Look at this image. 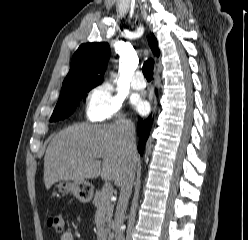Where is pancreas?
Returning <instances> with one entry per match:
<instances>
[{"instance_id":"cf45deb5","label":"pancreas","mask_w":248,"mask_h":240,"mask_svg":"<svg viewBox=\"0 0 248 240\" xmlns=\"http://www.w3.org/2000/svg\"><path fill=\"white\" fill-rule=\"evenodd\" d=\"M95 207L102 211L105 215L106 229L105 232L108 235V240L113 238L111 230L114 228V222L112 219L114 206L110 202V195H106L103 191L97 190L93 199Z\"/></svg>"}]
</instances>
